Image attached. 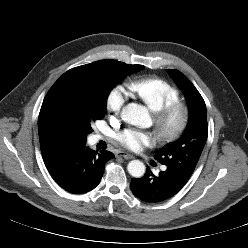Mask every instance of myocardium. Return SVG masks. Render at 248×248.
<instances>
[{"instance_id": "obj_1", "label": "myocardium", "mask_w": 248, "mask_h": 248, "mask_svg": "<svg viewBox=\"0 0 248 248\" xmlns=\"http://www.w3.org/2000/svg\"><path fill=\"white\" fill-rule=\"evenodd\" d=\"M189 118V108L180 100L154 112V125L159 139L167 143L177 140L186 130Z\"/></svg>"}]
</instances>
